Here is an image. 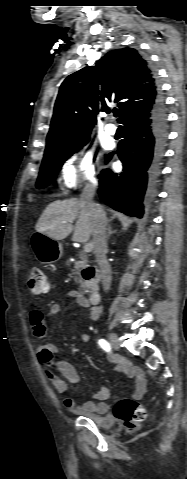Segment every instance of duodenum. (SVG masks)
Returning a JSON list of instances; mask_svg holds the SVG:
<instances>
[{"label": "duodenum", "mask_w": 187, "mask_h": 479, "mask_svg": "<svg viewBox=\"0 0 187 479\" xmlns=\"http://www.w3.org/2000/svg\"><path fill=\"white\" fill-rule=\"evenodd\" d=\"M95 277H96V272L92 268L88 269L86 279L90 282H93ZM88 298L91 304H97L99 302L100 290L96 284H92L88 293Z\"/></svg>", "instance_id": "410a0bca"}]
</instances>
